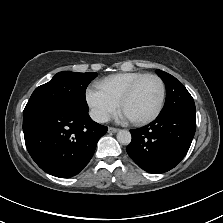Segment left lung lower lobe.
<instances>
[{"mask_svg": "<svg viewBox=\"0 0 223 223\" xmlns=\"http://www.w3.org/2000/svg\"><path fill=\"white\" fill-rule=\"evenodd\" d=\"M196 130L195 112H172L147 126L130 130L126 150L143 170L160 174L174 168L186 155Z\"/></svg>", "mask_w": 223, "mask_h": 223, "instance_id": "left-lung-lower-lobe-1", "label": "left lung lower lobe"}]
</instances>
